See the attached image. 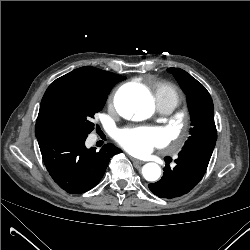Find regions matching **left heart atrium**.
I'll return each mask as SVG.
<instances>
[{"label": "left heart atrium", "mask_w": 250, "mask_h": 250, "mask_svg": "<svg viewBox=\"0 0 250 250\" xmlns=\"http://www.w3.org/2000/svg\"><path fill=\"white\" fill-rule=\"evenodd\" d=\"M119 143L130 153L146 155L155 147H162L168 142V134L158 127L126 129L118 135Z\"/></svg>", "instance_id": "1"}]
</instances>
